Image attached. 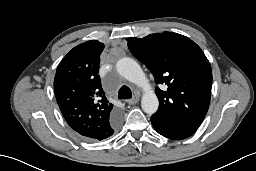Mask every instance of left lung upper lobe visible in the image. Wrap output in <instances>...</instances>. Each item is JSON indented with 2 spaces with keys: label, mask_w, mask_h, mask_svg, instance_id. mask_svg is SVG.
<instances>
[{
  "label": "left lung upper lobe",
  "mask_w": 256,
  "mask_h": 171,
  "mask_svg": "<svg viewBox=\"0 0 256 171\" xmlns=\"http://www.w3.org/2000/svg\"><path fill=\"white\" fill-rule=\"evenodd\" d=\"M132 54L153 73L159 109L153 115L167 119L187 134L201 125L210 104L212 70L201 48L186 36L163 32L127 38Z\"/></svg>",
  "instance_id": "left-lung-upper-lobe-1"
}]
</instances>
